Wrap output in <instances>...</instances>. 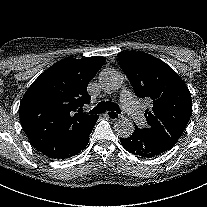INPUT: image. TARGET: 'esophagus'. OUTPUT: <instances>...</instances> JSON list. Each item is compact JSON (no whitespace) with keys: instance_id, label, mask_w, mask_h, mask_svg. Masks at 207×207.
Segmentation results:
<instances>
[{"instance_id":"obj_1","label":"esophagus","mask_w":207,"mask_h":207,"mask_svg":"<svg viewBox=\"0 0 207 207\" xmlns=\"http://www.w3.org/2000/svg\"><path fill=\"white\" fill-rule=\"evenodd\" d=\"M106 116L110 119V120H117L119 119L121 116L118 112L116 111H107L106 112Z\"/></svg>"}]
</instances>
